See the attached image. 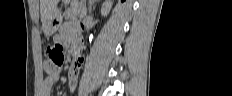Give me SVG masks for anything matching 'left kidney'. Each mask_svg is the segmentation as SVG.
Wrapping results in <instances>:
<instances>
[{
    "label": "left kidney",
    "mask_w": 232,
    "mask_h": 96,
    "mask_svg": "<svg viewBox=\"0 0 232 96\" xmlns=\"http://www.w3.org/2000/svg\"><path fill=\"white\" fill-rule=\"evenodd\" d=\"M111 7H112V1L111 0H106L102 5L101 14L103 16H107V14L109 13Z\"/></svg>",
    "instance_id": "obj_1"
}]
</instances>
